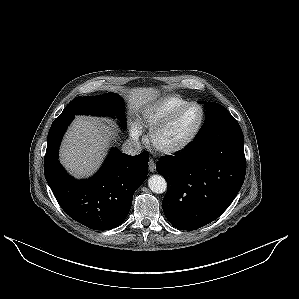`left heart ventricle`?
<instances>
[{"label": "left heart ventricle", "mask_w": 299, "mask_h": 299, "mask_svg": "<svg viewBox=\"0 0 299 299\" xmlns=\"http://www.w3.org/2000/svg\"><path fill=\"white\" fill-rule=\"evenodd\" d=\"M201 120V109L197 106L186 108L175 120L157 136V143L163 148L183 143L196 129Z\"/></svg>", "instance_id": "b2bd125f"}]
</instances>
